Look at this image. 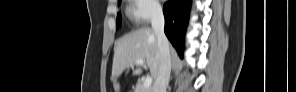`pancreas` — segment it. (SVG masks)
<instances>
[{
  "instance_id": "obj_1",
  "label": "pancreas",
  "mask_w": 296,
  "mask_h": 92,
  "mask_svg": "<svg viewBox=\"0 0 296 92\" xmlns=\"http://www.w3.org/2000/svg\"><path fill=\"white\" fill-rule=\"evenodd\" d=\"M135 92H151V88L144 87L142 82H138L135 87Z\"/></svg>"
}]
</instances>
